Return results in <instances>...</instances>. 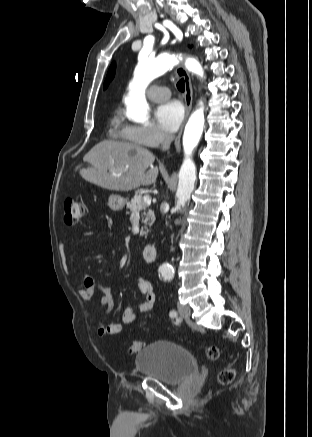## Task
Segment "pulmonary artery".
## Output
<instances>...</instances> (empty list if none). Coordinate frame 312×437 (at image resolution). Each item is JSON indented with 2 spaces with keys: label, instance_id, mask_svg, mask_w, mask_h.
I'll return each mask as SVG.
<instances>
[{
  "label": "pulmonary artery",
  "instance_id": "obj_1",
  "mask_svg": "<svg viewBox=\"0 0 312 437\" xmlns=\"http://www.w3.org/2000/svg\"><path fill=\"white\" fill-rule=\"evenodd\" d=\"M147 96L152 101H164L170 97V90L165 86L152 84L147 90Z\"/></svg>",
  "mask_w": 312,
  "mask_h": 437
}]
</instances>
